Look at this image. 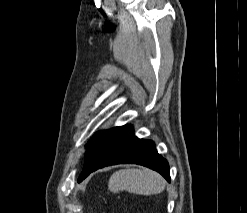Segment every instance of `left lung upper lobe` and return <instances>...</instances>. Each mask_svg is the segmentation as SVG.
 Instances as JSON below:
<instances>
[{"label": "left lung upper lobe", "instance_id": "obj_1", "mask_svg": "<svg viewBox=\"0 0 247 213\" xmlns=\"http://www.w3.org/2000/svg\"><path fill=\"white\" fill-rule=\"evenodd\" d=\"M105 131H99L97 132L91 139L90 141L88 142V144L86 145V148L88 149L89 146L99 137L101 136ZM78 182H81L79 179H78Z\"/></svg>", "mask_w": 247, "mask_h": 213}]
</instances>
